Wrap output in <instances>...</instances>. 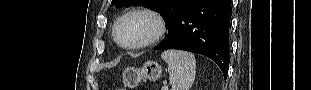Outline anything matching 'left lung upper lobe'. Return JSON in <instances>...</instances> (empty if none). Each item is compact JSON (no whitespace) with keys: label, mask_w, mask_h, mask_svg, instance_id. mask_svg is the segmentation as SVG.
Returning a JSON list of instances; mask_svg holds the SVG:
<instances>
[{"label":"left lung upper lobe","mask_w":311,"mask_h":90,"mask_svg":"<svg viewBox=\"0 0 311 90\" xmlns=\"http://www.w3.org/2000/svg\"><path fill=\"white\" fill-rule=\"evenodd\" d=\"M195 0H112L116 8L141 3L144 7L159 12L170 30L179 15ZM168 30V31H169Z\"/></svg>","instance_id":"left-lung-upper-lobe-1"}]
</instances>
